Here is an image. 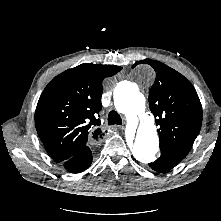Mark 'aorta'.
Returning a JSON list of instances; mask_svg holds the SVG:
<instances>
[{"instance_id": "obj_1", "label": "aorta", "mask_w": 221, "mask_h": 221, "mask_svg": "<svg viewBox=\"0 0 221 221\" xmlns=\"http://www.w3.org/2000/svg\"><path fill=\"white\" fill-rule=\"evenodd\" d=\"M139 73L142 77H153L152 70L147 66L141 67ZM114 105L119 113L131 119L137 116L142 118L132 146V154L142 163L152 162L159 150V138L154 118L144 113V95L135 84L123 82L114 91Z\"/></svg>"}]
</instances>
